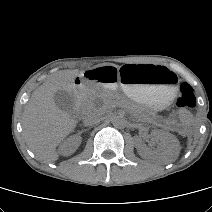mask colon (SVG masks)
Returning a JSON list of instances; mask_svg holds the SVG:
<instances>
[{
    "instance_id": "colon-1",
    "label": "colon",
    "mask_w": 212,
    "mask_h": 212,
    "mask_svg": "<svg viewBox=\"0 0 212 212\" xmlns=\"http://www.w3.org/2000/svg\"><path fill=\"white\" fill-rule=\"evenodd\" d=\"M176 104L181 112V118L185 123H190L191 110L196 106V95L194 89L188 83H182L179 87Z\"/></svg>"
}]
</instances>
